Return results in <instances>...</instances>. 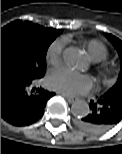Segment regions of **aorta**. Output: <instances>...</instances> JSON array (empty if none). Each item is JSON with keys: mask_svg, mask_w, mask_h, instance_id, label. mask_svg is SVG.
I'll return each mask as SVG.
<instances>
[{"mask_svg": "<svg viewBox=\"0 0 122 154\" xmlns=\"http://www.w3.org/2000/svg\"><path fill=\"white\" fill-rule=\"evenodd\" d=\"M63 60L68 67L76 68L82 63L83 54L77 48L70 47L63 52ZM89 111V105L83 100H77L71 106V112L76 117L86 116Z\"/></svg>", "mask_w": 122, "mask_h": 154, "instance_id": "obj_1", "label": "aorta"}]
</instances>
